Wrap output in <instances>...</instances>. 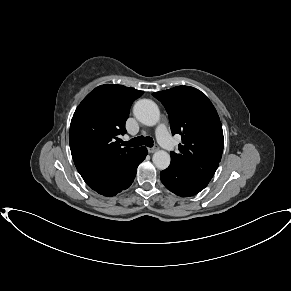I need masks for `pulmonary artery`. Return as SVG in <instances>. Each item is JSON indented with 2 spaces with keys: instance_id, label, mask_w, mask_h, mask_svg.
I'll list each match as a JSON object with an SVG mask.
<instances>
[{
  "instance_id": "pulmonary-artery-1",
  "label": "pulmonary artery",
  "mask_w": 291,
  "mask_h": 291,
  "mask_svg": "<svg viewBox=\"0 0 291 291\" xmlns=\"http://www.w3.org/2000/svg\"><path fill=\"white\" fill-rule=\"evenodd\" d=\"M156 136L159 144L167 151H172L175 148V141L170 136L166 125L161 124L156 130Z\"/></svg>"
}]
</instances>
